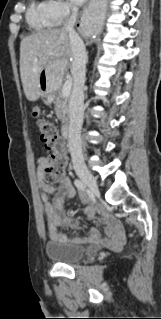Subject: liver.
Masks as SVG:
<instances>
[{"label":"liver","mask_w":161,"mask_h":319,"mask_svg":"<svg viewBox=\"0 0 161 319\" xmlns=\"http://www.w3.org/2000/svg\"><path fill=\"white\" fill-rule=\"evenodd\" d=\"M72 57L69 35L62 29L41 31L22 39L20 44V75L26 98L36 101L40 95L39 74L51 61L65 70Z\"/></svg>","instance_id":"1"}]
</instances>
